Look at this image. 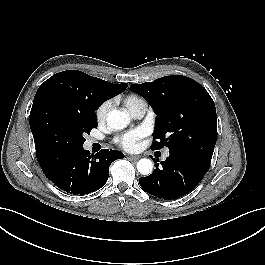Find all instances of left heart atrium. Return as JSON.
<instances>
[{"mask_svg":"<svg viewBox=\"0 0 265 265\" xmlns=\"http://www.w3.org/2000/svg\"><path fill=\"white\" fill-rule=\"evenodd\" d=\"M141 129L126 132L116 139V143L127 151H133L138 147V141L143 137Z\"/></svg>","mask_w":265,"mask_h":265,"instance_id":"1","label":"left heart atrium"}]
</instances>
